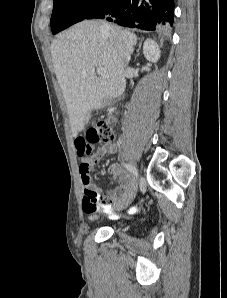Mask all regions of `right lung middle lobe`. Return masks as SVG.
Segmentation results:
<instances>
[{
    "label": "right lung middle lobe",
    "instance_id": "obj_1",
    "mask_svg": "<svg viewBox=\"0 0 227 298\" xmlns=\"http://www.w3.org/2000/svg\"><path fill=\"white\" fill-rule=\"evenodd\" d=\"M105 1L106 0H53L54 7L50 21L52 33L56 34L84 20Z\"/></svg>",
    "mask_w": 227,
    "mask_h": 298
}]
</instances>
